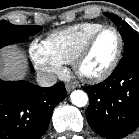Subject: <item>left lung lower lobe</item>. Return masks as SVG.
Listing matches in <instances>:
<instances>
[{"mask_svg": "<svg viewBox=\"0 0 139 139\" xmlns=\"http://www.w3.org/2000/svg\"><path fill=\"white\" fill-rule=\"evenodd\" d=\"M89 96L90 127L107 139H120L139 126V47L123 58L102 83L83 87Z\"/></svg>", "mask_w": 139, "mask_h": 139, "instance_id": "obj_1", "label": "left lung lower lobe"}]
</instances>
